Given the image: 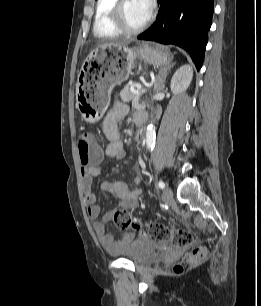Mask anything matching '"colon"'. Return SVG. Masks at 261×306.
I'll return each instance as SVG.
<instances>
[{"label": "colon", "mask_w": 261, "mask_h": 306, "mask_svg": "<svg viewBox=\"0 0 261 306\" xmlns=\"http://www.w3.org/2000/svg\"><path fill=\"white\" fill-rule=\"evenodd\" d=\"M79 159L82 166L98 162L102 157V148L89 132H82L78 136ZM114 225L121 230H134L157 242H166L175 248H187L193 243V235L189 230L170 228L160 223L142 224L135 220L126 210H115L112 214ZM206 251L202 247L195 248L188 255V263L195 264L205 257ZM177 271L183 266L177 265Z\"/></svg>", "instance_id": "5ec220e1"}]
</instances>
